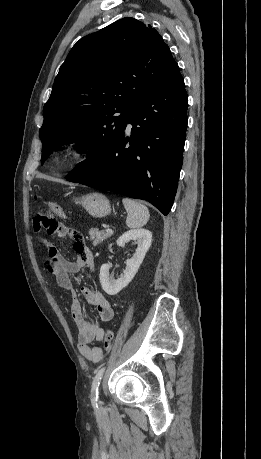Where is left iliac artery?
Returning a JSON list of instances; mask_svg holds the SVG:
<instances>
[{
  "mask_svg": "<svg viewBox=\"0 0 261 459\" xmlns=\"http://www.w3.org/2000/svg\"><path fill=\"white\" fill-rule=\"evenodd\" d=\"M104 371H105V368H101L96 376L94 377V380H93V383H92V389H91V401H92V404L95 406V407H98V404H97V400H98V388H99V385H100V381L102 379V376L104 374Z\"/></svg>",
  "mask_w": 261,
  "mask_h": 459,
  "instance_id": "1",
  "label": "left iliac artery"
}]
</instances>
